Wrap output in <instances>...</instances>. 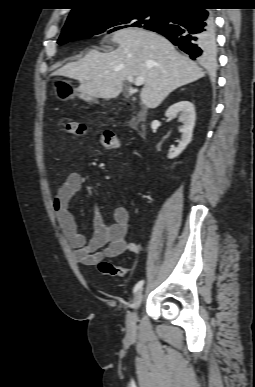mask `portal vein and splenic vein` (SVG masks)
<instances>
[{"label":"portal vein and splenic vein","instance_id":"portal-vein-and-splenic-vein-1","mask_svg":"<svg viewBox=\"0 0 255 387\" xmlns=\"http://www.w3.org/2000/svg\"><path fill=\"white\" fill-rule=\"evenodd\" d=\"M130 83H133L135 86H141L145 83V79L143 77H128L127 79Z\"/></svg>","mask_w":255,"mask_h":387}]
</instances>
